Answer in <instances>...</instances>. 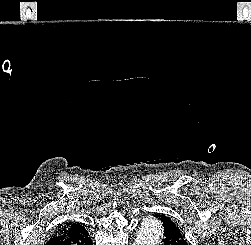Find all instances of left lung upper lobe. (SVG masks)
<instances>
[{
    "instance_id": "5c2ea615",
    "label": "left lung upper lobe",
    "mask_w": 251,
    "mask_h": 245,
    "mask_svg": "<svg viewBox=\"0 0 251 245\" xmlns=\"http://www.w3.org/2000/svg\"><path fill=\"white\" fill-rule=\"evenodd\" d=\"M167 219H169V222H170L171 224H173L174 226H176L177 228H179L178 225H176L170 218H167ZM162 221H163V223H164V220H162Z\"/></svg>"
}]
</instances>
